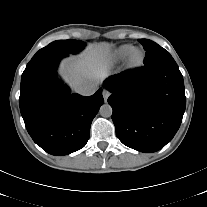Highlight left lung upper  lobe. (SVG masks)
Masks as SVG:
<instances>
[{
    "mask_svg": "<svg viewBox=\"0 0 207 207\" xmlns=\"http://www.w3.org/2000/svg\"><path fill=\"white\" fill-rule=\"evenodd\" d=\"M139 42L143 45L146 51L144 66L155 65L173 59L170 53L157 43L148 39H139Z\"/></svg>",
    "mask_w": 207,
    "mask_h": 207,
    "instance_id": "5c2ea615",
    "label": "left lung upper lobe"
}]
</instances>
